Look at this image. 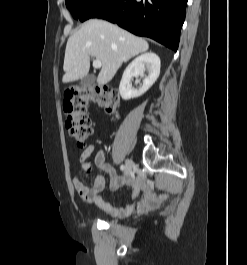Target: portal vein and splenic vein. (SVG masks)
I'll list each match as a JSON object with an SVG mask.
<instances>
[{"label":"portal vein and splenic vein","instance_id":"18ae733b","mask_svg":"<svg viewBox=\"0 0 247 265\" xmlns=\"http://www.w3.org/2000/svg\"><path fill=\"white\" fill-rule=\"evenodd\" d=\"M101 62L99 61V60H95V61H93V67L94 68H96V69H98V68H100L101 67Z\"/></svg>","mask_w":247,"mask_h":265}]
</instances>
